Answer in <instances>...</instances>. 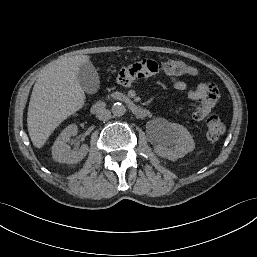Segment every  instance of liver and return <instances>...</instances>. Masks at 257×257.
<instances>
[{"label":"liver","instance_id":"liver-1","mask_svg":"<svg viewBox=\"0 0 257 257\" xmlns=\"http://www.w3.org/2000/svg\"><path fill=\"white\" fill-rule=\"evenodd\" d=\"M89 60L86 55L58 59L39 74L27 115L29 136L36 148H42L59 124L83 107L85 93L77 74Z\"/></svg>","mask_w":257,"mask_h":257}]
</instances>
